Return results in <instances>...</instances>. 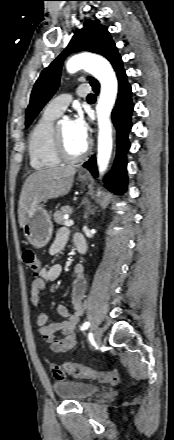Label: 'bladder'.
I'll use <instances>...</instances> for the list:
<instances>
[{"instance_id":"31cf9c89","label":"bladder","mask_w":174,"mask_h":440,"mask_svg":"<svg viewBox=\"0 0 174 440\" xmlns=\"http://www.w3.org/2000/svg\"><path fill=\"white\" fill-rule=\"evenodd\" d=\"M53 390L61 399L85 400L96 394L99 387L87 382L67 381L54 383Z\"/></svg>"}]
</instances>
